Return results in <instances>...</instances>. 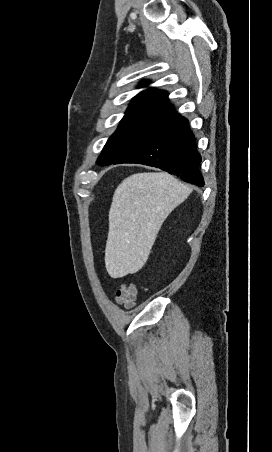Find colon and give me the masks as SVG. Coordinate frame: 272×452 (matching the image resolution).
I'll use <instances>...</instances> for the list:
<instances>
[{"instance_id": "obj_1", "label": "colon", "mask_w": 272, "mask_h": 452, "mask_svg": "<svg viewBox=\"0 0 272 452\" xmlns=\"http://www.w3.org/2000/svg\"><path fill=\"white\" fill-rule=\"evenodd\" d=\"M136 298V288L133 285H121L116 291V302L125 308H131Z\"/></svg>"}]
</instances>
